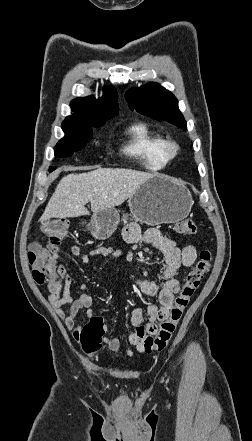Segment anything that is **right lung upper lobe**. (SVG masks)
<instances>
[{"label": "right lung upper lobe", "mask_w": 252, "mask_h": 441, "mask_svg": "<svg viewBox=\"0 0 252 441\" xmlns=\"http://www.w3.org/2000/svg\"><path fill=\"white\" fill-rule=\"evenodd\" d=\"M71 108L75 113L66 119L89 123L102 122L117 115V93L112 87L104 88L101 98L96 99L93 96L76 98L71 102Z\"/></svg>", "instance_id": "1"}]
</instances>
